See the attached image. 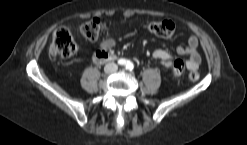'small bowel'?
Masks as SVG:
<instances>
[{
    "label": "small bowel",
    "mask_w": 247,
    "mask_h": 145,
    "mask_svg": "<svg viewBox=\"0 0 247 145\" xmlns=\"http://www.w3.org/2000/svg\"><path fill=\"white\" fill-rule=\"evenodd\" d=\"M116 42L113 38H107L100 44L101 51H109L115 46ZM176 53L179 56H187L186 66L192 71L196 72L199 68L201 57L198 52V39L195 36L189 37L186 45H180L176 48ZM155 59L161 60L163 65L170 67L173 62L172 55L165 50H156L153 53Z\"/></svg>",
    "instance_id": "small-bowel-1"
}]
</instances>
